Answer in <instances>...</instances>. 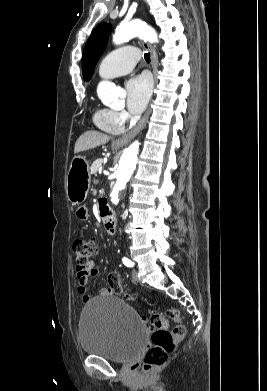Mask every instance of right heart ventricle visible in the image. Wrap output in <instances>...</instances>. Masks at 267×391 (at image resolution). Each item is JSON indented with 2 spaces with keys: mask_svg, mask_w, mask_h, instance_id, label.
I'll list each match as a JSON object with an SVG mask.
<instances>
[{
  "mask_svg": "<svg viewBox=\"0 0 267 391\" xmlns=\"http://www.w3.org/2000/svg\"><path fill=\"white\" fill-rule=\"evenodd\" d=\"M94 124L102 131L109 134H119L122 131V124L114 116V111L98 107L93 114Z\"/></svg>",
  "mask_w": 267,
  "mask_h": 391,
  "instance_id": "obj_1",
  "label": "right heart ventricle"
}]
</instances>
